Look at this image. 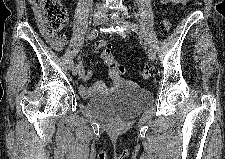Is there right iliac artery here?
Listing matches in <instances>:
<instances>
[{"instance_id":"obj_1","label":"right iliac artery","mask_w":225,"mask_h":159,"mask_svg":"<svg viewBox=\"0 0 225 159\" xmlns=\"http://www.w3.org/2000/svg\"><path fill=\"white\" fill-rule=\"evenodd\" d=\"M98 36V30L97 29H94L93 31H91L88 36H87V40L88 41H91L93 39H95L96 37ZM74 63L73 61L71 62V67H73Z\"/></svg>"}]
</instances>
